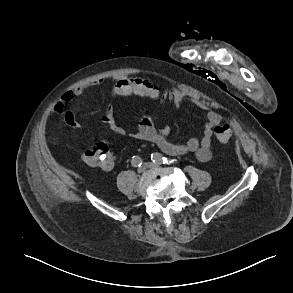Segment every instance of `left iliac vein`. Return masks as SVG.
<instances>
[{
	"label": "left iliac vein",
	"instance_id": "1",
	"mask_svg": "<svg viewBox=\"0 0 293 293\" xmlns=\"http://www.w3.org/2000/svg\"><path fill=\"white\" fill-rule=\"evenodd\" d=\"M145 167L152 169V168H159L160 166L156 163H153V162H146Z\"/></svg>",
	"mask_w": 293,
	"mask_h": 293
}]
</instances>
